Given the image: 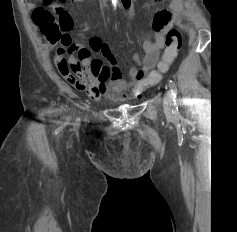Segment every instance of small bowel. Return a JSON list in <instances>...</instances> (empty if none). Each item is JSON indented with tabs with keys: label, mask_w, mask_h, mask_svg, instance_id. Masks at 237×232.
Returning a JSON list of instances; mask_svg holds the SVG:
<instances>
[{
	"label": "small bowel",
	"mask_w": 237,
	"mask_h": 232,
	"mask_svg": "<svg viewBox=\"0 0 237 232\" xmlns=\"http://www.w3.org/2000/svg\"><path fill=\"white\" fill-rule=\"evenodd\" d=\"M160 1H168V9H162L155 14L153 31L143 38L146 54L143 58L138 55L133 57L134 66L127 80L122 78L109 45L99 37L92 38L88 48L72 43L59 47L54 56V63L61 75L77 90L86 91L95 101L103 97L115 101L140 97L148 87L146 75L159 61L166 36L183 8L182 0ZM140 32L142 33L141 30ZM91 52H101L109 66L101 59H91ZM66 53L69 54L68 58L65 57Z\"/></svg>",
	"instance_id": "small-bowel-1"
}]
</instances>
